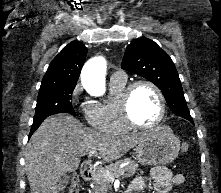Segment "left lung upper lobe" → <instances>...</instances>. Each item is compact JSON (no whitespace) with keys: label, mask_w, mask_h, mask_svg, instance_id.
Returning a JSON list of instances; mask_svg holds the SVG:
<instances>
[{"label":"left lung upper lobe","mask_w":221,"mask_h":193,"mask_svg":"<svg viewBox=\"0 0 221 193\" xmlns=\"http://www.w3.org/2000/svg\"><path fill=\"white\" fill-rule=\"evenodd\" d=\"M121 67L154 83L171 111L193 121L174 63L154 41L145 37L133 40L127 46Z\"/></svg>","instance_id":"left-lung-upper-lobe-1"}]
</instances>
